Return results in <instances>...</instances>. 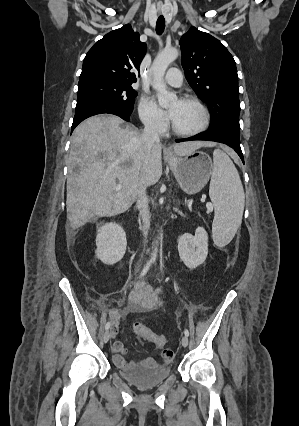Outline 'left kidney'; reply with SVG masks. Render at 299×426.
Returning a JSON list of instances; mask_svg holds the SVG:
<instances>
[{
  "label": "left kidney",
  "mask_w": 299,
  "mask_h": 426,
  "mask_svg": "<svg viewBox=\"0 0 299 426\" xmlns=\"http://www.w3.org/2000/svg\"><path fill=\"white\" fill-rule=\"evenodd\" d=\"M179 256L186 267L195 269L205 262L208 255V234L198 227L195 235L183 234L178 241Z\"/></svg>",
  "instance_id": "obj_1"
}]
</instances>
